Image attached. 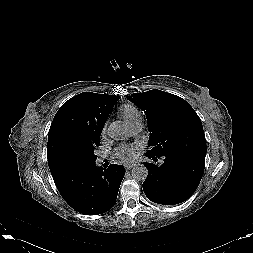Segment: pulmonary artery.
Listing matches in <instances>:
<instances>
[{
  "label": "pulmonary artery",
  "mask_w": 253,
  "mask_h": 253,
  "mask_svg": "<svg viewBox=\"0 0 253 253\" xmlns=\"http://www.w3.org/2000/svg\"><path fill=\"white\" fill-rule=\"evenodd\" d=\"M130 129L134 134H137L141 131V121L130 124Z\"/></svg>",
  "instance_id": "pulmonary-artery-1"
}]
</instances>
